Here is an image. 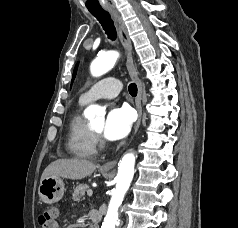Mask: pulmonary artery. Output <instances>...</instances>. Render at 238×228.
Segmentation results:
<instances>
[{"label": "pulmonary artery", "instance_id": "obj_1", "mask_svg": "<svg viewBox=\"0 0 238 228\" xmlns=\"http://www.w3.org/2000/svg\"><path fill=\"white\" fill-rule=\"evenodd\" d=\"M120 91V81L115 77H108L88 88L81 95L80 100L87 104L100 98H114L119 95Z\"/></svg>", "mask_w": 238, "mask_h": 228}]
</instances>
